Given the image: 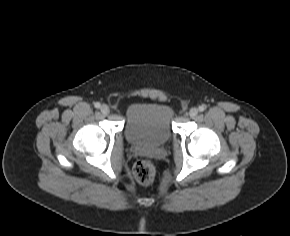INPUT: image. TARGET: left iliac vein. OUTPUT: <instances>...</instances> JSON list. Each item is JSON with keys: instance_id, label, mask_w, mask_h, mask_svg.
Returning a JSON list of instances; mask_svg holds the SVG:
<instances>
[{"instance_id": "4c4485c4", "label": "left iliac vein", "mask_w": 290, "mask_h": 236, "mask_svg": "<svg viewBox=\"0 0 290 236\" xmlns=\"http://www.w3.org/2000/svg\"><path fill=\"white\" fill-rule=\"evenodd\" d=\"M198 112H199L198 109L193 107V108L190 109L189 115H190V117L194 118V117H196L198 115Z\"/></svg>"}]
</instances>
